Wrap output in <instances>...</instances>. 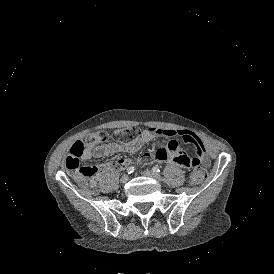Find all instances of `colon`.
<instances>
[{"instance_id": "5ec220e1", "label": "colon", "mask_w": 274, "mask_h": 274, "mask_svg": "<svg viewBox=\"0 0 274 274\" xmlns=\"http://www.w3.org/2000/svg\"><path fill=\"white\" fill-rule=\"evenodd\" d=\"M138 130L134 127L126 129L116 130L115 138L124 143H129L137 138ZM105 132H97L87 138L86 141H82L80 146L71 147L69 155L64 160V167L72 173H75L79 179H86L96 175L100 168L98 166H86L81 163V156L84 152L85 145H90L95 142H105ZM206 179V172L203 169L196 168L190 169L188 180L192 186H197Z\"/></svg>"}]
</instances>
